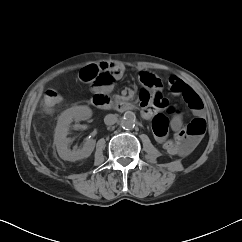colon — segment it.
Masks as SVG:
<instances>
[{
  "label": "colon",
  "instance_id": "1",
  "mask_svg": "<svg viewBox=\"0 0 242 242\" xmlns=\"http://www.w3.org/2000/svg\"><path fill=\"white\" fill-rule=\"evenodd\" d=\"M79 78L82 82L92 83L94 86H106L114 81L115 76L111 71L92 64L84 67L80 71ZM141 83L143 85L142 93L144 94L145 100L148 101L150 95H152L156 101L162 99L160 93V81L155 75L143 74L141 76ZM172 90L175 93L182 95L190 108H195L200 104L199 96L190 87L181 88V86L176 83ZM62 99L63 98L58 91L48 89L43 97V106L47 110H53L61 104ZM152 126L154 133L159 136L164 135L168 129L167 121L163 115L157 116L153 121ZM193 127L194 128L189 127L188 133L192 135H203L205 133L206 128L200 121H195Z\"/></svg>",
  "mask_w": 242,
  "mask_h": 242
}]
</instances>
